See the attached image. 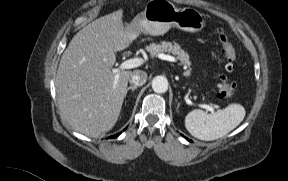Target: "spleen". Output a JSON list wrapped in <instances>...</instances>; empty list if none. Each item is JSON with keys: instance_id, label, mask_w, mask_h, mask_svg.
<instances>
[{"instance_id": "3e777b00", "label": "spleen", "mask_w": 288, "mask_h": 181, "mask_svg": "<svg viewBox=\"0 0 288 181\" xmlns=\"http://www.w3.org/2000/svg\"><path fill=\"white\" fill-rule=\"evenodd\" d=\"M245 114L244 107L236 103L211 114L195 109L186 115L185 127L195 138L212 141L235 129L243 121Z\"/></svg>"}]
</instances>
